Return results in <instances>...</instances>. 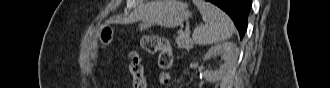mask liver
Masks as SVG:
<instances>
[{
    "label": "liver",
    "instance_id": "liver-1",
    "mask_svg": "<svg viewBox=\"0 0 330 88\" xmlns=\"http://www.w3.org/2000/svg\"><path fill=\"white\" fill-rule=\"evenodd\" d=\"M155 1L147 2L144 4L139 5L127 18L129 22H135L139 20H144L148 17L151 12L152 5Z\"/></svg>",
    "mask_w": 330,
    "mask_h": 88
}]
</instances>
